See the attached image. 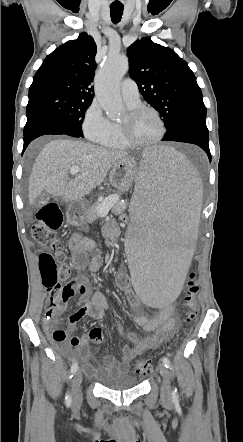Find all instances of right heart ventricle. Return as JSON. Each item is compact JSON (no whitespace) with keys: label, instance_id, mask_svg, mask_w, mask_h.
Instances as JSON below:
<instances>
[{"label":"right heart ventricle","instance_id":"obj_1","mask_svg":"<svg viewBox=\"0 0 243 442\" xmlns=\"http://www.w3.org/2000/svg\"><path fill=\"white\" fill-rule=\"evenodd\" d=\"M138 105V104H137ZM137 105H130V108L136 107ZM111 127L109 133L102 138L98 143L103 146L115 148V149H125L128 146L123 142L120 134V123L110 122Z\"/></svg>","mask_w":243,"mask_h":442}]
</instances>
